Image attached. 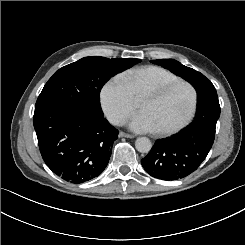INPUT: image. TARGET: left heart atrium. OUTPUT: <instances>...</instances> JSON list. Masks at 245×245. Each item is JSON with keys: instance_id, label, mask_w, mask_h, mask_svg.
<instances>
[{"instance_id": "obj_1", "label": "left heart atrium", "mask_w": 245, "mask_h": 245, "mask_svg": "<svg viewBox=\"0 0 245 245\" xmlns=\"http://www.w3.org/2000/svg\"><path fill=\"white\" fill-rule=\"evenodd\" d=\"M129 126L136 132H156L158 130L149 116L141 111L133 116Z\"/></svg>"}]
</instances>
